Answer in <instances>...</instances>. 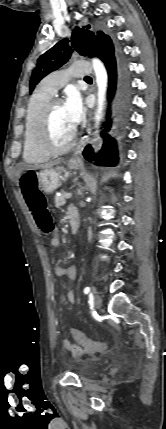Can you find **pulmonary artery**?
Returning <instances> with one entry per match:
<instances>
[{
  "mask_svg": "<svg viewBox=\"0 0 166 429\" xmlns=\"http://www.w3.org/2000/svg\"><path fill=\"white\" fill-rule=\"evenodd\" d=\"M92 70L90 64L85 61H78L72 63L67 69L56 71L52 73L46 80L41 84V88L51 94H55L59 88H61L68 77L83 78L90 75Z\"/></svg>",
  "mask_w": 166,
  "mask_h": 429,
  "instance_id": "pulmonary-artery-1",
  "label": "pulmonary artery"
}]
</instances>
